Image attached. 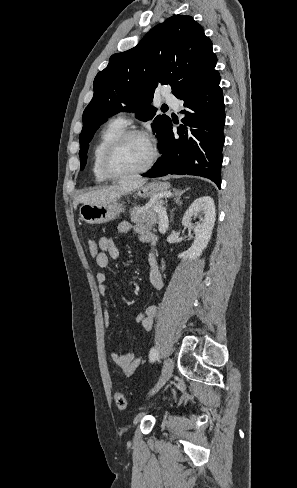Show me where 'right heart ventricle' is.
Wrapping results in <instances>:
<instances>
[{"instance_id": "1", "label": "right heart ventricle", "mask_w": 297, "mask_h": 488, "mask_svg": "<svg viewBox=\"0 0 297 488\" xmlns=\"http://www.w3.org/2000/svg\"><path fill=\"white\" fill-rule=\"evenodd\" d=\"M126 127V123L119 118H114L99 133L92 151V172L97 182L102 183L109 180L102 170V157L109 143L125 131Z\"/></svg>"}]
</instances>
